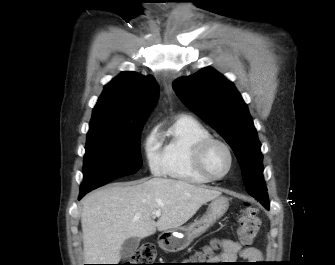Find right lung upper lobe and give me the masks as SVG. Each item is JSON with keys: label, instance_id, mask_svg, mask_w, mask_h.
Here are the masks:
<instances>
[{"label": "right lung upper lobe", "instance_id": "obj_1", "mask_svg": "<svg viewBox=\"0 0 335 265\" xmlns=\"http://www.w3.org/2000/svg\"><path fill=\"white\" fill-rule=\"evenodd\" d=\"M159 87L152 76L122 72L109 82L93 109L89 132L121 133L144 123L153 109Z\"/></svg>", "mask_w": 335, "mask_h": 265}]
</instances>
